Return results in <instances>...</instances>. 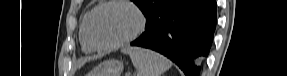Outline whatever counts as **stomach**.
Returning a JSON list of instances; mask_svg holds the SVG:
<instances>
[{
  "label": "stomach",
  "instance_id": "stomach-1",
  "mask_svg": "<svg viewBox=\"0 0 287 76\" xmlns=\"http://www.w3.org/2000/svg\"><path fill=\"white\" fill-rule=\"evenodd\" d=\"M123 63L110 59L103 61L98 67L91 71L87 76H120L123 71Z\"/></svg>",
  "mask_w": 287,
  "mask_h": 76
}]
</instances>
